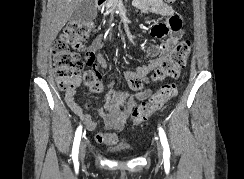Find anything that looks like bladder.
Wrapping results in <instances>:
<instances>
[{
  "label": "bladder",
  "mask_w": 244,
  "mask_h": 179,
  "mask_svg": "<svg viewBox=\"0 0 244 179\" xmlns=\"http://www.w3.org/2000/svg\"><path fill=\"white\" fill-rule=\"evenodd\" d=\"M120 151H121L120 149L113 148L109 152L112 155H118L120 153Z\"/></svg>",
  "instance_id": "31cf9c89"
}]
</instances>
